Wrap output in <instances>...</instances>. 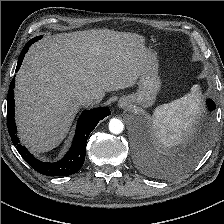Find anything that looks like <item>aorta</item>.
<instances>
[{
  "label": "aorta",
  "mask_w": 224,
  "mask_h": 224,
  "mask_svg": "<svg viewBox=\"0 0 224 224\" xmlns=\"http://www.w3.org/2000/svg\"><path fill=\"white\" fill-rule=\"evenodd\" d=\"M124 125L123 123L116 118H112L109 122V130L113 134H119L123 131Z\"/></svg>",
  "instance_id": "aorta-1"
}]
</instances>
